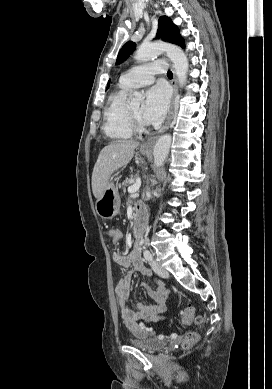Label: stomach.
Segmentation results:
<instances>
[{
	"label": "stomach",
	"instance_id": "stomach-1",
	"mask_svg": "<svg viewBox=\"0 0 272 389\" xmlns=\"http://www.w3.org/2000/svg\"><path fill=\"white\" fill-rule=\"evenodd\" d=\"M143 155L149 154L148 149H140ZM120 196L114 182L109 179L102 196L96 200V213L103 219H112L119 213L120 210Z\"/></svg>",
	"mask_w": 272,
	"mask_h": 389
}]
</instances>
